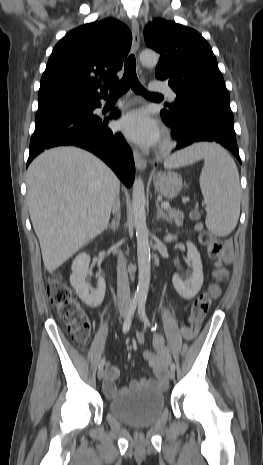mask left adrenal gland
Listing matches in <instances>:
<instances>
[{"label": "left adrenal gland", "mask_w": 263, "mask_h": 465, "mask_svg": "<svg viewBox=\"0 0 263 465\" xmlns=\"http://www.w3.org/2000/svg\"><path fill=\"white\" fill-rule=\"evenodd\" d=\"M156 208H157V216H156L157 220L162 218V219L170 222V219H169L168 215L160 208V205H159L158 201H156Z\"/></svg>", "instance_id": "1"}]
</instances>
